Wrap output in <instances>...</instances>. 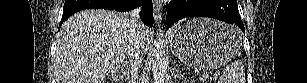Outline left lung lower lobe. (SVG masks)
<instances>
[{
    "label": "left lung lower lobe",
    "mask_w": 307,
    "mask_h": 83,
    "mask_svg": "<svg viewBox=\"0 0 307 83\" xmlns=\"http://www.w3.org/2000/svg\"><path fill=\"white\" fill-rule=\"evenodd\" d=\"M199 16L235 23L245 33L237 0H173L168 5L167 27L182 18Z\"/></svg>",
    "instance_id": "obj_1"
}]
</instances>
